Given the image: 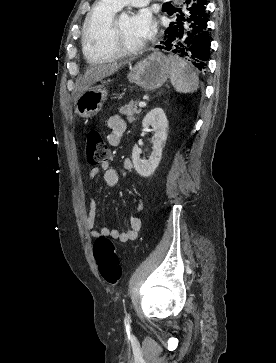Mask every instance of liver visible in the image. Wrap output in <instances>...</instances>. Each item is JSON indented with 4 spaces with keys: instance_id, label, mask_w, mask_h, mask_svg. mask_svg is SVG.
Listing matches in <instances>:
<instances>
[{
    "instance_id": "liver-1",
    "label": "liver",
    "mask_w": 276,
    "mask_h": 363,
    "mask_svg": "<svg viewBox=\"0 0 276 363\" xmlns=\"http://www.w3.org/2000/svg\"><path fill=\"white\" fill-rule=\"evenodd\" d=\"M124 64L126 63H112V64L95 65L88 68L81 79L80 85L78 87V93L75 98V102L77 98L84 91L89 89L93 84L102 80L105 77L113 75Z\"/></svg>"
}]
</instances>
